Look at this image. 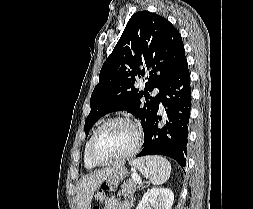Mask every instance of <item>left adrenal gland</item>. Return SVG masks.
Wrapping results in <instances>:
<instances>
[{
  "label": "left adrenal gland",
  "instance_id": "1",
  "mask_svg": "<svg viewBox=\"0 0 253 209\" xmlns=\"http://www.w3.org/2000/svg\"><path fill=\"white\" fill-rule=\"evenodd\" d=\"M133 202H134V199L132 198V199H131V205H132V206H133Z\"/></svg>",
  "mask_w": 253,
  "mask_h": 209
}]
</instances>
